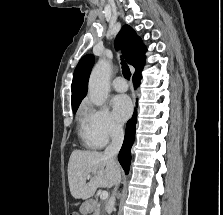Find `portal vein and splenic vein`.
I'll list each match as a JSON object with an SVG mask.
<instances>
[{
  "label": "portal vein and splenic vein",
  "instance_id": "18ae733b",
  "mask_svg": "<svg viewBox=\"0 0 223 215\" xmlns=\"http://www.w3.org/2000/svg\"><path fill=\"white\" fill-rule=\"evenodd\" d=\"M87 177H91V175H87ZM108 191H101L100 199H107Z\"/></svg>",
  "mask_w": 223,
  "mask_h": 215
}]
</instances>
